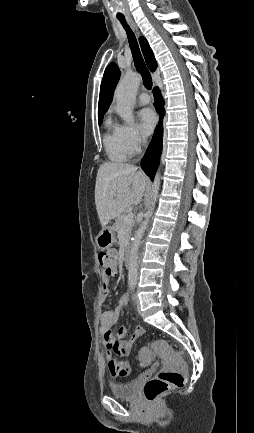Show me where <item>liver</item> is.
Masks as SVG:
<instances>
[{
	"instance_id": "liver-1",
	"label": "liver",
	"mask_w": 254,
	"mask_h": 433,
	"mask_svg": "<svg viewBox=\"0 0 254 433\" xmlns=\"http://www.w3.org/2000/svg\"><path fill=\"white\" fill-rule=\"evenodd\" d=\"M131 164L107 162L97 172L95 204L102 228L125 209L141 202L147 177Z\"/></svg>"
}]
</instances>
